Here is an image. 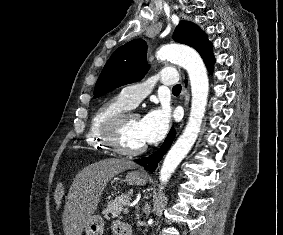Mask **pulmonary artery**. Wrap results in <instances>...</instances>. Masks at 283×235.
<instances>
[{"label":"pulmonary artery","instance_id":"e3ab8cb5","mask_svg":"<svg viewBox=\"0 0 283 235\" xmlns=\"http://www.w3.org/2000/svg\"><path fill=\"white\" fill-rule=\"evenodd\" d=\"M177 78V72L174 69H162L158 75L150 77L146 82L124 87L121 96L131 107H135L152 91L156 82L164 85H174Z\"/></svg>","mask_w":283,"mask_h":235}]
</instances>
